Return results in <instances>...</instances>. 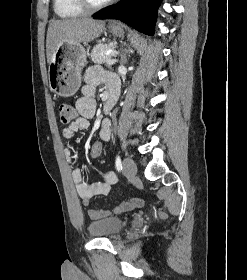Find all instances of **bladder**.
I'll return each mask as SVG.
<instances>
[{
    "instance_id": "bladder-1",
    "label": "bladder",
    "mask_w": 247,
    "mask_h": 280,
    "mask_svg": "<svg viewBox=\"0 0 247 280\" xmlns=\"http://www.w3.org/2000/svg\"><path fill=\"white\" fill-rule=\"evenodd\" d=\"M122 227L123 221L121 219L108 217L91 222L88 226V231L93 237L110 238L117 235Z\"/></svg>"
}]
</instances>
